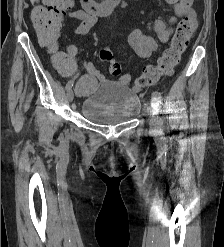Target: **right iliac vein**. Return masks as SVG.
I'll use <instances>...</instances> for the list:
<instances>
[{"label": "right iliac vein", "mask_w": 224, "mask_h": 247, "mask_svg": "<svg viewBox=\"0 0 224 247\" xmlns=\"http://www.w3.org/2000/svg\"><path fill=\"white\" fill-rule=\"evenodd\" d=\"M73 98H74L73 90L69 89L68 92H67V100H68V102H72Z\"/></svg>", "instance_id": "1"}]
</instances>
